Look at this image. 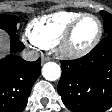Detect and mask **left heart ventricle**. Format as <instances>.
Masks as SVG:
<instances>
[{"label": "left heart ventricle", "instance_id": "b2bd125f", "mask_svg": "<svg viewBox=\"0 0 112 112\" xmlns=\"http://www.w3.org/2000/svg\"><path fill=\"white\" fill-rule=\"evenodd\" d=\"M98 32V23L93 17L82 19L74 30L70 40L72 49H81L86 47L96 36Z\"/></svg>", "mask_w": 112, "mask_h": 112}]
</instances>
